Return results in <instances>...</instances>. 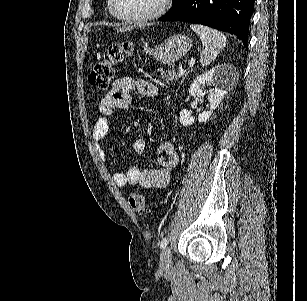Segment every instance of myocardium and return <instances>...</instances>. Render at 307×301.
<instances>
[{"mask_svg": "<svg viewBox=\"0 0 307 301\" xmlns=\"http://www.w3.org/2000/svg\"><path fill=\"white\" fill-rule=\"evenodd\" d=\"M109 1L111 7H108V12L116 17V22H151L152 18L161 17L170 3V0H163L157 11L122 10L119 13L117 0Z\"/></svg>", "mask_w": 307, "mask_h": 301, "instance_id": "myocardium-1", "label": "myocardium"}]
</instances>
